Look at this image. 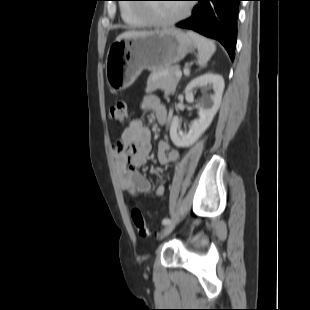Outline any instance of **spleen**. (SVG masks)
<instances>
[{
    "label": "spleen",
    "mask_w": 310,
    "mask_h": 310,
    "mask_svg": "<svg viewBox=\"0 0 310 310\" xmlns=\"http://www.w3.org/2000/svg\"><path fill=\"white\" fill-rule=\"evenodd\" d=\"M188 35L197 47L198 64L200 66L206 65L216 50L214 42L192 31H189Z\"/></svg>",
    "instance_id": "obj_1"
}]
</instances>
